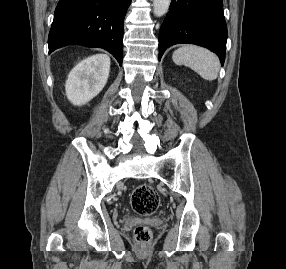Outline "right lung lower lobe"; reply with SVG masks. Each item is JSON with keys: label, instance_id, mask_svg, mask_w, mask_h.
<instances>
[{"label": "right lung lower lobe", "instance_id": "obj_1", "mask_svg": "<svg viewBox=\"0 0 286 269\" xmlns=\"http://www.w3.org/2000/svg\"><path fill=\"white\" fill-rule=\"evenodd\" d=\"M131 0H60L48 37L49 54L67 45L99 47L122 64L123 21Z\"/></svg>", "mask_w": 286, "mask_h": 269}]
</instances>
